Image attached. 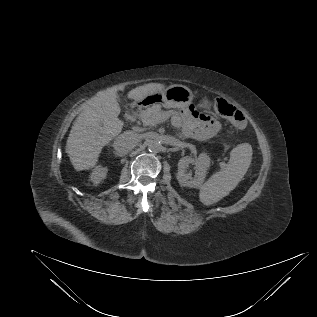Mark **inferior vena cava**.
<instances>
[{
  "label": "inferior vena cava",
  "mask_w": 317,
  "mask_h": 317,
  "mask_svg": "<svg viewBox=\"0 0 317 317\" xmlns=\"http://www.w3.org/2000/svg\"><path fill=\"white\" fill-rule=\"evenodd\" d=\"M138 141L139 139L136 133L124 132L115 139L113 147L116 152L122 156L132 150L137 145Z\"/></svg>",
  "instance_id": "602c4592"
}]
</instances>
